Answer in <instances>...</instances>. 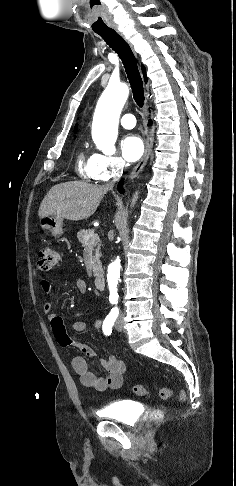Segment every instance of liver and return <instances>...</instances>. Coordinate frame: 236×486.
Returning <instances> with one entry per match:
<instances>
[{
	"label": "liver",
	"instance_id": "6515ba94",
	"mask_svg": "<svg viewBox=\"0 0 236 486\" xmlns=\"http://www.w3.org/2000/svg\"><path fill=\"white\" fill-rule=\"evenodd\" d=\"M108 189L80 181L53 186L44 197L39 217L57 216L72 221L86 219L96 211Z\"/></svg>",
	"mask_w": 236,
	"mask_h": 486
}]
</instances>
